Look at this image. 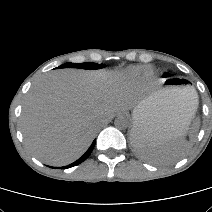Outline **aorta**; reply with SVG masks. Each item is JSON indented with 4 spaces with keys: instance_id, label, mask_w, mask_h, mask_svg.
I'll use <instances>...</instances> for the list:
<instances>
[{
    "instance_id": "obj_1",
    "label": "aorta",
    "mask_w": 212,
    "mask_h": 212,
    "mask_svg": "<svg viewBox=\"0 0 212 212\" xmlns=\"http://www.w3.org/2000/svg\"><path fill=\"white\" fill-rule=\"evenodd\" d=\"M114 125L118 129H125L128 127V120L124 116H118L114 121Z\"/></svg>"
}]
</instances>
